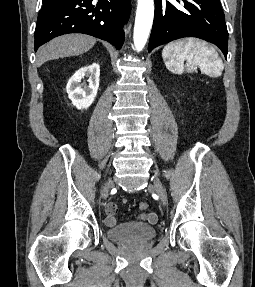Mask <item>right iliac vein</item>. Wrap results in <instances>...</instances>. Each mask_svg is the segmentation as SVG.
<instances>
[{
  "mask_svg": "<svg viewBox=\"0 0 255 287\" xmlns=\"http://www.w3.org/2000/svg\"><path fill=\"white\" fill-rule=\"evenodd\" d=\"M112 187V181H107L102 190V197L106 198L108 196L109 190Z\"/></svg>",
  "mask_w": 255,
  "mask_h": 287,
  "instance_id": "right-iliac-vein-1",
  "label": "right iliac vein"
}]
</instances>
